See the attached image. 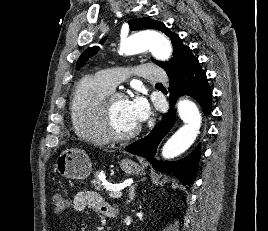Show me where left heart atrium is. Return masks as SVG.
Returning <instances> with one entry per match:
<instances>
[{
	"mask_svg": "<svg viewBox=\"0 0 268 231\" xmlns=\"http://www.w3.org/2000/svg\"><path fill=\"white\" fill-rule=\"evenodd\" d=\"M131 110L138 123L144 121L149 114V107L146 100L141 96H136L129 100Z\"/></svg>",
	"mask_w": 268,
	"mask_h": 231,
	"instance_id": "39dd6f15",
	"label": "left heart atrium"
}]
</instances>
